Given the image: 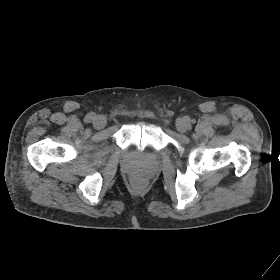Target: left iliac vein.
I'll use <instances>...</instances> for the list:
<instances>
[{
  "label": "left iliac vein",
  "mask_w": 280,
  "mask_h": 280,
  "mask_svg": "<svg viewBox=\"0 0 280 280\" xmlns=\"http://www.w3.org/2000/svg\"><path fill=\"white\" fill-rule=\"evenodd\" d=\"M176 128L180 133H185L188 129V123L185 119L179 118L176 121Z\"/></svg>",
  "instance_id": "4c4485c4"
}]
</instances>
